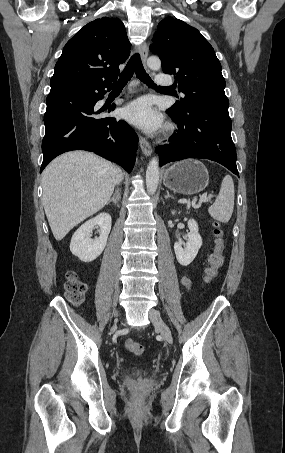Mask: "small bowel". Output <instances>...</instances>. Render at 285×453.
Returning a JSON list of instances; mask_svg holds the SVG:
<instances>
[{"label":"small bowel","instance_id":"obj_1","mask_svg":"<svg viewBox=\"0 0 285 453\" xmlns=\"http://www.w3.org/2000/svg\"><path fill=\"white\" fill-rule=\"evenodd\" d=\"M181 282L183 284V286L186 288V289H190L191 288V285H192V282L190 280V278L188 276H183L181 278Z\"/></svg>","mask_w":285,"mask_h":453}]
</instances>
